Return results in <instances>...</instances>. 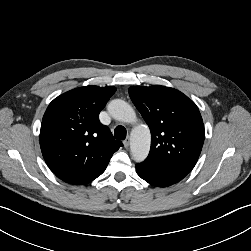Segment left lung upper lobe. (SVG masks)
<instances>
[{"label": "left lung upper lobe", "mask_w": 251, "mask_h": 251, "mask_svg": "<svg viewBox=\"0 0 251 251\" xmlns=\"http://www.w3.org/2000/svg\"><path fill=\"white\" fill-rule=\"evenodd\" d=\"M129 95L151 131L144 163L191 171L205 138L198 107L182 92L161 85L132 86Z\"/></svg>", "instance_id": "obj_1"}]
</instances>
